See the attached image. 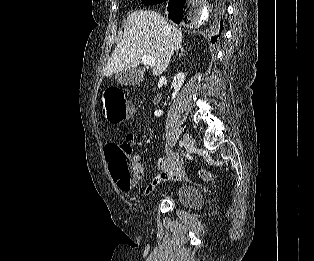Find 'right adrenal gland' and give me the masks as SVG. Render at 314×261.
Returning a JSON list of instances; mask_svg holds the SVG:
<instances>
[{"instance_id":"right-adrenal-gland-1","label":"right adrenal gland","mask_w":314,"mask_h":261,"mask_svg":"<svg viewBox=\"0 0 314 261\" xmlns=\"http://www.w3.org/2000/svg\"><path fill=\"white\" fill-rule=\"evenodd\" d=\"M186 53V50L183 47H180V54L179 57Z\"/></svg>"}]
</instances>
